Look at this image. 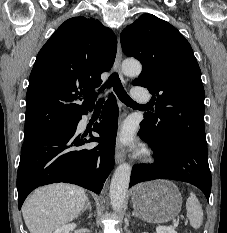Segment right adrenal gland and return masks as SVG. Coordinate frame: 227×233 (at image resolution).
I'll return each instance as SVG.
<instances>
[{
  "label": "right adrenal gland",
  "instance_id": "1",
  "mask_svg": "<svg viewBox=\"0 0 227 233\" xmlns=\"http://www.w3.org/2000/svg\"><path fill=\"white\" fill-rule=\"evenodd\" d=\"M86 210H92V206L91 203L89 201V199H86V205L84 206L83 210L80 212V215L83 214Z\"/></svg>",
  "mask_w": 227,
  "mask_h": 233
}]
</instances>
